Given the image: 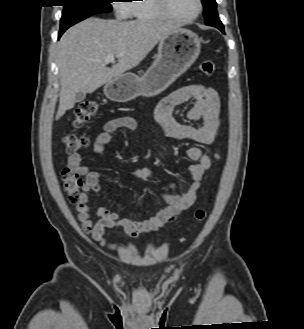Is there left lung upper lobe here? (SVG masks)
Instances as JSON below:
<instances>
[{
  "mask_svg": "<svg viewBox=\"0 0 304 329\" xmlns=\"http://www.w3.org/2000/svg\"><path fill=\"white\" fill-rule=\"evenodd\" d=\"M204 6V18L207 20L212 12L217 11V3L215 0H202Z\"/></svg>",
  "mask_w": 304,
  "mask_h": 329,
  "instance_id": "1",
  "label": "left lung upper lobe"
}]
</instances>
